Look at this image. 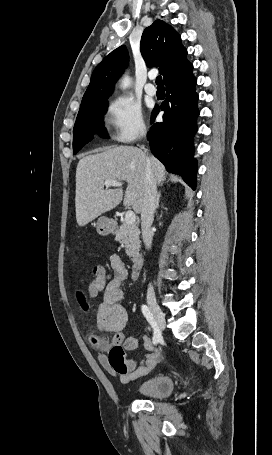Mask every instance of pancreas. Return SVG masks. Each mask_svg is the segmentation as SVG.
<instances>
[{
    "instance_id": "obj_1",
    "label": "pancreas",
    "mask_w": 272,
    "mask_h": 455,
    "mask_svg": "<svg viewBox=\"0 0 272 455\" xmlns=\"http://www.w3.org/2000/svg\"><path fill=\"white\" fill-rule=\"evenodd\" d=\"M140 230L133 224L129 225L126 222L121 224L120 229L116 232V241L124 244L126 254L131 258V261L136 262L140 251Z\"/></svg>"
}]
</instances>
